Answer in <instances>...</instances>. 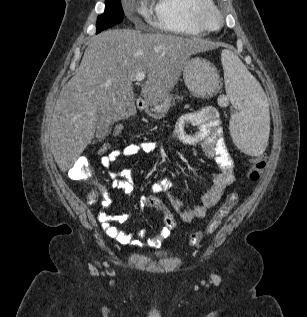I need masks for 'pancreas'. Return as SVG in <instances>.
<instances>
[{
    "label": "pancreas",
    "mask_w": 307,
    "mask_h": 317,
    "mask_svg": "<svg viewBox=\"0 0 307 317\" xmlns=\"http://www.w3.org/2000/svg\"><path fill=\"white\" fill-rule=\"evenodd\" d=\"M176 99H182V97H180V96H176ZM172 105H175V100H173V103H172ZM171 106V104H169L168 106H166V108H169Z\"/></svg>",
    "instance_id": "obj_1"
}]
</instances>
